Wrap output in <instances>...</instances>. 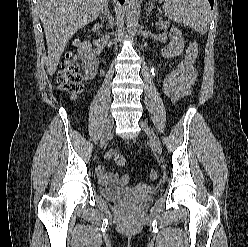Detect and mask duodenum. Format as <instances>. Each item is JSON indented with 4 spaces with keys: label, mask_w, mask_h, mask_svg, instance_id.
<instances>
[{
    "label": "duodenum",
    "mask_w": 248,
    "mask_h": 247,
    "mask_svg": "<svg viewBox=\"0 0 248 247\" xmlns=\"http://www.w3.org/2000/svg\"><path fill=\"white\" fill-rule=\"evenodd\" d=\"M99 27H100V26H99V25H97V26H96V30H98V29H99ZM100 42L103 44V43H104V40H103V39H101V40H100Z\"/></svg>",
    "instance_id": "410a0bca"
}]
</instances>
